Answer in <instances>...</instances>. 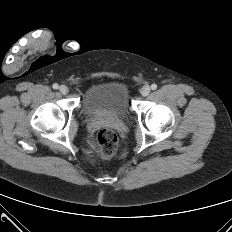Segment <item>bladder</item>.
Here are the masks:
<instances>
[{"instance_id":"31cf9c89","label":"bladder","mask_w":232,"mask_h":232,"mask_svg":"<svg viewBox=\"0 0 232 232\" xmlns=\"http://www.w3.org/2000/svg\"><path fill=\"white\" fill-rule=\"evenodd\" d=\"M82 110L89 116H126L130 111L127 85L121 80H107L95 84L85 93Z\"/></svg>"}]
</instances>
